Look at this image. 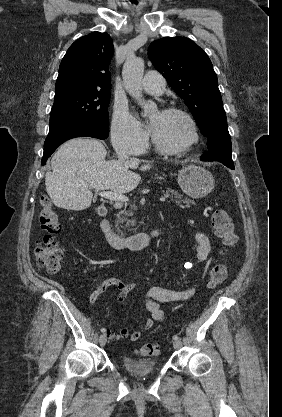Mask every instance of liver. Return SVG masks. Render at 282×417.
Segmentation results:
<instances>
[{"label":"liver","mask_w":282,"mask_h":417,"mask_svg":"<svg viewBox=\"0 0 282 417\" xmlns=\"http://www.w3.org/2000/svg\"><path fill=\"white\" fill-rule=\"evenodd\" d=\"M107 150L96 138L79 136L59 146L51 158L52 172H46V190L55 206L67 211H84L91 206L92 192L114 190L130 192L141 176L129 168H137L139 158L105 160ZM151 168L142 164L140 170Z\"/></svg>","instance_id":"liver-1"}]
</instances>
